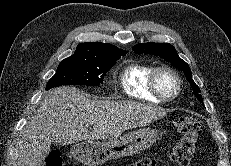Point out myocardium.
I'll use <instances>...</instances> for the list:
<instances>
[{
    "label": "myocardium",
    "instance_id": "1",
    "mask_svg": "<svg viewBox=\"0 0 231 166\" xmlns=\"http://www.w3.org/2000/svg\"><path fill=\"white\" fill-rule=\"evenodd\" d=\"M169 73L176 81V91L171 96H166L158 86V77L161 73ZM149 89L150 92L160 101L171 102L174 101L182 90V79L178 72L169 66H159L154 68L149 78Z\"/></svg>",
    "mask_w": 231,
    "mask_h": 166
}]
</instances>
